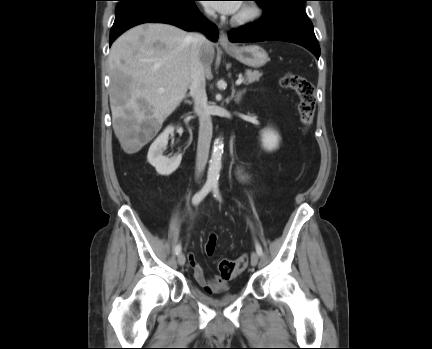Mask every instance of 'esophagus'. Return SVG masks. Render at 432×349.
<instances>
[{"label":"esophagus","instance_id":"obj_1","mask_svg":"<svg viewBox=\"0 0 432 349\" xmlns=\"http://www.w3.org/2000/svg\"><path fill=\"white\" fill-rule=\"evenodd\" d=\"M219 44L222 47H233V45L230 43L227 33L224 30H220L219 34Z\"/></svg>","mask_w":432,"mask_h":349}]
</instances>
